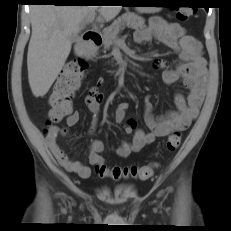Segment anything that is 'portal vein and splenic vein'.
Segmentation results:
<instances>
[{
	"instance_id": "portal-vein-and-splenic-vein-1",
	"label": "portal vein and splenic vein",
	"mask_w": 231,
	"mask_h": 231,
	"mask_svg": "<svg viewBox=\"0 0 231 231\" xmlns=\"http://www.w3.org/2000/svg\"><path fill=\"white\" fill-rule=\"evenodd\" d=\"M94 20V15H90L86 18V23H92Z\"/></svg>"
}]
</instances>
